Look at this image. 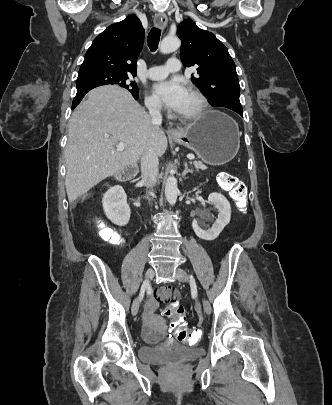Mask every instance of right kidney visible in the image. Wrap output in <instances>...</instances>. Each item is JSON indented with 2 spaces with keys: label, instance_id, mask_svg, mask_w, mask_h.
I'll list each match as a JSON object with an SVG mask.
<instances>
[{
  "label": "right kidney",
  "instance_id": "right-kidney-1",
  "mask_svg": "<svg viewBox=\"0 0 332 405\" xmlns=\"http://www.w3.org/2000/svg\"><path fill=\"white\" fill-rule=\"evenodd\" d=\"M103 209L107 218L118 226H125L130 220V207L127 195L120 185L107 190L102 199Z\"/></svg>",
  "mask_w": 332,
  "mask_h": 405
}]
</instances>
